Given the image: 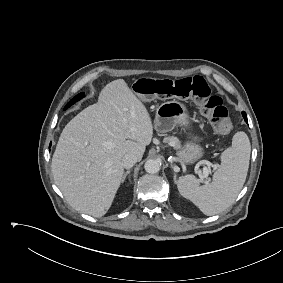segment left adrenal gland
<instances>
[{"label": "left adrenal gland", "instance_id": "obj_1", "mask_svg": "<svg viewBox=\"0 0 283 283\" xmlns=\"http://www.w3.org/2000/svg\"><path fill=\"white\" fill-rule=\"evenodd\" d=\"M174 181L176 182V174H174Z\"/></svg>", "mask_w": 283, "mask_h": 283}]
</instances>
